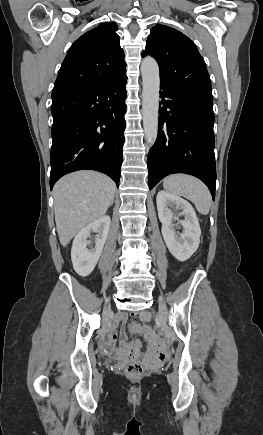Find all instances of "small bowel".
Wrapping results in <instances>:
<instances>
[{
    "label": "small bowel",
    "instance_id": "c3829d8e",
    "mask_svg": "<svg viewBox=\"0 0 263 435\" xmlns=\"http://www.w3.org/2000/svg\"><path fill=\"white\" fill-rule=\"evenodd\" d=\"M149 317L150 315L147 312L141 313V319L143 321H147ZM125 319H126V315L120 314L117 318V321L123 322ZM139 328L140 327L137 325L134 326L135 330ZM145 333L146 334L144 335V338L147 341H151V343H150V349L148 347H145L142 350V353L145 356H148L149 354H153L154 362L156 364H163L165 362V354L163 353L162 343L160 341L161 339L160 332H151L149 329H145ZM115 338L116 336L111 329H108L103 337V346L109 351L112 358L119 359L125 355L138 354L140 349L139 341H128L126 333L122 331L120 334L121 348H118L113 344Z\"/></svg>",
    "mask_w": 263,
    "mask_h": 435
}]
</instances>
